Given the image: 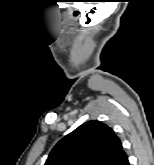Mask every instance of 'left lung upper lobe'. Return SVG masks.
Listing matches in <instances>:
<instances>
[{
  "label": "left lung upper lobe",
  "mask_w": 154,
  "mask_h": 165,
  "mask_svg": "<svg viewBox=\"0 0 154 165\" xmlns=\"http://www.w3.org/2000/svg\"><path fill=\"white\" fill-rule=\"evenodd\" d=\"M122 144L113 130L96 121H88L60 140L45 165H117Z\"/></svg>",
  "instance_id": "5c2ea615"
}]
</instances>
